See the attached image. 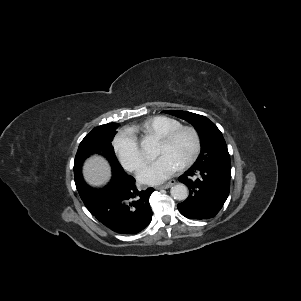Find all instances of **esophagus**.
Instances as JSON below:
<instances>
[{
  "instance_id": "34e87169",
  "label": "esophagus",
  "mask_w": 301,
  "mask_h": 301,
  "mask_svg": "<svg viewBox=\"0 0 301 301\" xmlns=\"http://www.w3.org/2000/svg\"><path fill=\"white\" fill-rule=\"evenodd\" d=\"M174 184H176V181L175 180H170L166 184L156 187V189H167V188L173 186Z\"/></svg>"
}]
</instances>
